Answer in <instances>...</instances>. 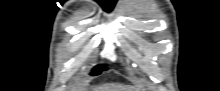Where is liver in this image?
<instances>
[{
  "label": "liver",
  "instance_id": "6515ba94",
  "mask_svg": "<svg viewBox=\"0 0 220 91\" xmlns=\"http://www.w3.org/2000/svg\"><path fill=\"white\" fill-rule=\"evenodd\" d=\"M94 89H95L94 91H139V90H132L135 89L133 87H117V86H102Z\"/></svg>",
  "mask_w": 220,
  "mask_h": 91
}]
</instances>
